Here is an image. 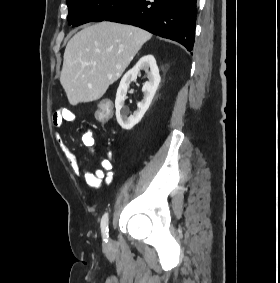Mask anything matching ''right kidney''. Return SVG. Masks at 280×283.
Segmentation results:
<instances>
[{"mask_svg":"<svg viewBox=\"0 0 280 283\" xmlns=\"http://www.w3.org/2000/svg\"><path fill=\"white\" fill-rule=\"evenodd\" d=\"M141 69H144L148 75V81L145 82L142 87L144 98L137 104V111H135L133 115L128 116L129 110L124 106L126 93L130 83L137 78ZM159 83V69L153 55L143 56L132 69L125 73L117 89L115 100L116 119L123 129L130 130L140 122L152 102L159 87Z\"/></svg>","mask_w":280,"mask_h":283,"instance_id":"1","label":"right kidney"}]
</instances>
